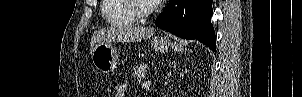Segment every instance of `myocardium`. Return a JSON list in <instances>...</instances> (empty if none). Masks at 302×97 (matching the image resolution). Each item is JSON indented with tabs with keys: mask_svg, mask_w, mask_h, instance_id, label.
<instances>
[{
	"mask_svg": "<svg viewBox=\"0 0 302 97\" xmlns=\"http://www.w3.org/2000/svg\"><path fill=\"white\" fill-rule=\"evenodd\" d=\"M137 0H126V6L129 12L136 18L138 21H142L152 15L157 6L155 4H149L146 9H140L137 4Z\"/></svg>",
	"mask_w": 302,
	"mask_h": 97,
	"instance_id": "1",
	"label": "myocardium"
}]
</instances>
